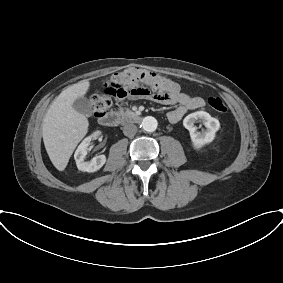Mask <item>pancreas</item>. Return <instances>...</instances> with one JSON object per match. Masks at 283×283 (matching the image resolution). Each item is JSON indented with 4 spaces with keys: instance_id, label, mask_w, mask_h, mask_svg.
<instances>
[{
    "instance_id": "1",
    "label": "pancreas",
    "mask_w": 283,
    "mask_h": 283,
    "mask_svg": "<svg viewBox=\"0 0 283 283\" xmlns=\"http://www.w3.org/2000/svg\"><path fill=\"white\" fill-rule=\"evenodd\" d=\"M119 111L122 115H130L132 114V112L129 109H126V111H124L123 108H119Z\"/></svg>"
}]
</instances>
